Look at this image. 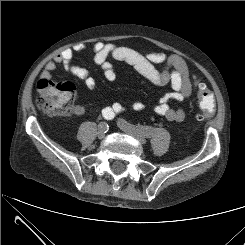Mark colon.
I'll return each mask as SVG.
<instances>
[{
	"mask_svg": "<svg viewBox=\"0 0 245 245\" xmlns=\"http://www.w3.org/2000/svg\"><path fill=\"white\" fill-rule=\"evenodd\" d=\"M199 104L203 113L199 119L203 120L213 115L215 100L206 85L197 81L196 84ZM39 97L37 106L45 113L52 116H69L73 112L75 87L70 82H56L52 79H41L37 84Z\"/></svg>",
	"mask_w": 245,
	"mask_h": 245,
	"instance_id": "1",
	"label": "colon"
}]
</instances>
